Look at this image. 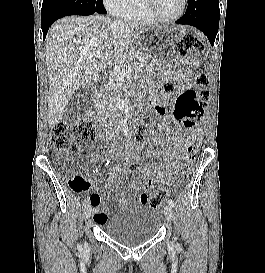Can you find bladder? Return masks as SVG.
Instances as JSON below:
<instances>
[{"label": "bladder", "mask_w": 265, "mask_h": 273, "mask_svg": "<svg viewBox=\"0 0 265 273\" xmlns=\"http://www.w3.org/2000/svg\"><path fill=\"white\" fill-rule=\"evenodd\" d=\"M162 224V215L145 203L126 206L100 224L103 233L113 241L135 247L152 240Z\"/></svg>", "instance_id": "1"}]
</instances>
